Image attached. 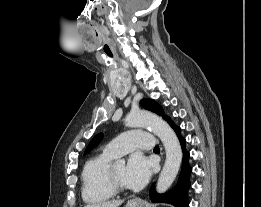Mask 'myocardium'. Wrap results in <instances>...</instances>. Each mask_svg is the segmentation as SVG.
Instances as JSON below:
<instances>
[{
    "label": "myocardium",
    "instance_id": "1",
    "mask_svg": "<svg viewBox=\"0 0 261 207\" xmlns=\"http://www.w3.org/2000/svg\"><path fill=\"white\" fill-rule=\"evenodd\" d=\"M107 180H108L109 187L111 188V190L114 193H122V192L127 191V188H125L122 185H120L118 183V181L116 180L112 165H110V167L108 169Z\"/></svg>",
    "mask_w": 261,
    "mask_h": 207
}]
</instances>
